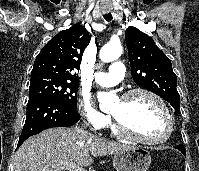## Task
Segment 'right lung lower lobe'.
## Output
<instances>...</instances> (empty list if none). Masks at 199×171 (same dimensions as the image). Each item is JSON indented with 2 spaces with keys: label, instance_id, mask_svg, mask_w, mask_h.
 <instances>
[{
  "label": "right lung lower lobe",
  "instance_id": "obj_1",
  "mask_svg": "<svg viewBox=\"0 0 199 171\" xmlns=\"http://www.w3.org/2000/svg\"><path fill=\"white\" fill-rule=\"evenodd\" d=\"M79 121V114L57 98L46 94L29 97L26 121L17 148L30 136L52 127L72 126Z\"/></svg>",
  "mask_w": 199,
  "mask_h": 171
}]
</instances>
